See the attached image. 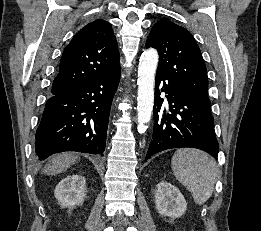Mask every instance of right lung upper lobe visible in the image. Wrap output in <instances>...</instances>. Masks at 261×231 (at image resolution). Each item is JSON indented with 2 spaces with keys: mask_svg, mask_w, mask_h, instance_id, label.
<instances>
[{
  "mask_svg": "<svg viewBox=\"0 0 261 231\" xmlns=\"http://www.w3.org/2000/svg\"><path fill=\"white\" fill-rule=\"evenodd\" d=\"M119 65L118 45L111 24L95 20L76 33L64 49L51 94L71 91Z\"/></svg>",
  "mask_w": 261,
  "mask_h": 231,
  "instance_id": "1",
  "label": "right lung upper lobe"
}]
</instances>
